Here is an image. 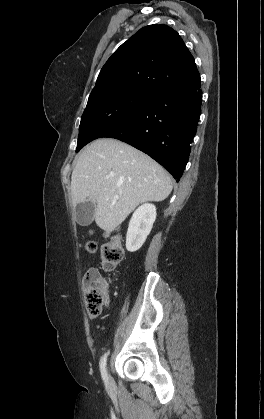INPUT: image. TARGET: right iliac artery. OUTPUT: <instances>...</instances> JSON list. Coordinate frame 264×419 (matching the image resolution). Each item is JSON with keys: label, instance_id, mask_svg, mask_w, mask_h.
<instances>
[{"label": "right iliac artery", "instance_id": "1", "mask_svg": "<svg viewBox=\"0 0 264 419\" xmlns=\"http://www.w3.org/2000/svg\"><path fill=\"white\" fill-rule=\"evenodd\" d=\"M108 354H109L108 352L105 353L104 356L101 358V361H100L101 375H102V378H103V380L106 384H108V375H107V370H106V361H107Z\"/></svg>", "mask_w": 264, "mask_h": 419}]
</instances>
